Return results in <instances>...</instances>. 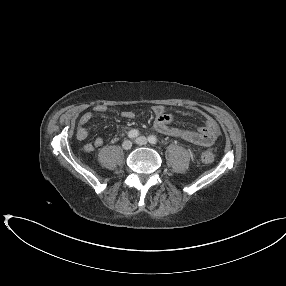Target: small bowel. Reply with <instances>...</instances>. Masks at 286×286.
Returning <instances> with one entry per match:
<instances>
[{"label": "small bowel", "instance_id": "c3829d8e", "mask_svg": "<svg viewBox=\"0 0 286 286\" xmlns=\"http://www.w3.org/2000/svg\"><path fill=\"white\" fill-rule=\"evenodd\" d=\"M195 110L203 116L204 124L193 131L175 126L174 117L166 112L165 107L162 105H154L152 107V111L155 115L153 127L157 132L163 135L179 137L201 147H210L214 144L219 135L218 124L210 115L199 109ZM94 111L96 113H104L106 111V106L96 105ZM121 116L125 119H133L135 114L130 110H124L122 111ZM92 118L93 113L91 111H86L80 115L75 131V136L78 140L82 141L88 137L89 131L87 129V124ZM103 144V138L97 137L93 142L84 144L83 151L87 153L92 152L93 150L100 148Z\"/></svg>", "mask_w": 286, "mask_h": 286}]
</instances>
